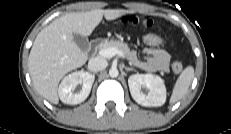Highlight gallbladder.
<instances>
[{
	"instance_id": "1",
	"label": "gallbladder",
	"mask_w": 231,
	"mask_h": 134,
	"mask_svg": "<svg viewBox=\"0 0 231 134\" xmlns=\"http://www.w3.org/2000/svg\"><path fill=\"white\" fill-rule=\"evenodd\" d=\"M73 40L82 51L88 50L89 41H88V39L86 37L81 36L79 34H74L73 35Z\"/></svg>"
}]
</instances>
